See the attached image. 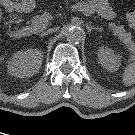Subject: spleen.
I'll use <instances>...</instances> for the list:
<instances>
[{"mask_svg": "<svg viewBox=\"0 0 135 135\" xmlns=\"http://www.w3.org/2000/svg\"><path fill=\"white\" fill-rule=\"evenodd\" d=\"M122 81L125 86L135 84V62L129 64L123 72Z\"/></svg>", "mask_w": 135, "mask_h": 135, "instance_id": "1", "label": "spleen"}]
</instances>
